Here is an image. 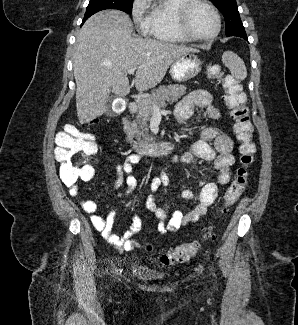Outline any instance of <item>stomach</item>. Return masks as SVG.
Returning a JSON list of instances; mask_svg holds the SVG:
<instances>
[{
	"mask_svg": "<svg viewBox=\"0 0 298 325\" xmlns=\"http://www.w3.org/2000/svg\"><path fill=\"white\" fill-rule=\"evenodd\" d=\"M202 64L203 62L196 52H186L172 62L169 74L176 82H186L201 72Z\"/></svg>",
	"mask_w": 298,
	"mask_h": 325,
	"instance_id": "stomach-1",
	"label": "stomach"
}]
</instances>
